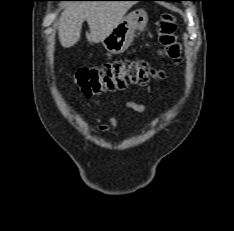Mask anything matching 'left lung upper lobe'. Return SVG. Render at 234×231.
Listing matches in <instances>:
<instances>
[{
    "label": "left lung upper lobe",
    "mask_w": 234,
    "mask_h": 231,
    "mask_svg": "<svg viewBox=\"0 0 234 231\" xmlns=\"http://www.w3.org/2000/svg\"><path fill=\"white\" fill-rule=\"evenodd\" d=\"M176 1H185V0H176Z\"/></svg>",
    "instance_id": "obj_1"
}]
</instances>
